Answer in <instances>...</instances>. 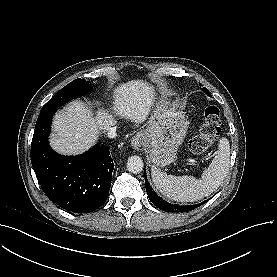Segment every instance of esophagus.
Instances as JSON below:
<instances>
[{
  "mask_svg": "<svg viewBox=\"0 0 277 277\" xmlns=\"http://www.w3.org/2000/svg\"><path fill=\"white\" fill-rule=\"evenodd\" d=\"M144 145V137L142 134L137 133L131 139V146L133 149L139 151Z\"/></svg>",
  "mask_w": 277,
  "mask_h": 277,
  "instance_id": "1",
  "label": "esophagus"
}]
</instances>
